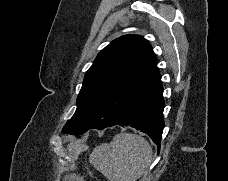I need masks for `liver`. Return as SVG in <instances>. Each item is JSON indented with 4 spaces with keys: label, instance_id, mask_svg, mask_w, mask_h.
<instances>
[{
    "label": "liver",
    "instance_id": "6515ba94",
    "mask_svg": "<svg viewBox=\"0 0 228 181\" xmlns=\"http://www.w3.org/2000/svg\"><path fill=\"white\" fill-rule=\"evenodd\" d=\"M71 141L72 143L67 145V149L70 151V153H73L74 149H79V151H86V149H88L87 145H83L80 139H75L74 141V137H72Z\"/></svg>",
    "mask_w": 228,
    "mask_h": 181
}]
</instances>
